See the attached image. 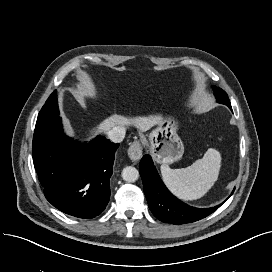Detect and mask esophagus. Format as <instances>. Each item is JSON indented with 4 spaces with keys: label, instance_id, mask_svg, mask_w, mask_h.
Wrapping results in <instances>:
<instances>
[{
    "label": "esophagus",
    "instance_id": "34e87169",
    "mask_svg": "<svg viewBox=\"0 0 272 272\" xmlns=\"http://www.w3.org/2000/svg\"><path fill=\"white\" fill-rule=\"evenodd\" d=\"M142 146L139 141H134L128 148V156L132 161H138L142 157Z\"/></svg>",
    "mask_w": 272,
    "mask_h": 272
}]
</instances>
